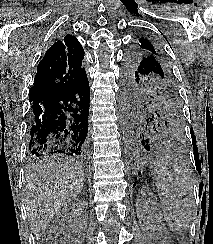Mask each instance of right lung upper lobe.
Returning <instances> with one entry per match:
<instances>
[{"label":"right lung upper lobe","mask_w":213,"mask_h":244,"mask_svg":"<svg viewBox=\"0 0 213 244\" xmlns=\"http://www.w3.org/2000/svg\"><path fill=\"white\" fill-rule=\"evenodd\" d=\"M84 50L75 36L62 34L39 62L29 99L68 89L84 74Z\"/></svg>","instance_id":"right-lung-upper-lobe-1"}]
</instances>
